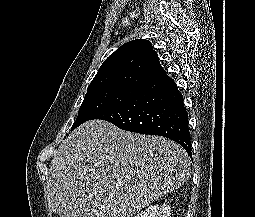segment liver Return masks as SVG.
Returning a JSON list of instances; mask_svg holds the SVG:
<instances>
[{"label":"liver","instance_id":"6515ba94","mask_svg":"<svg viewBox=\"0 0 255 217\" xmlns=\"http://www.w3.org/2000/svg\"><path fill=\"white\" fill-rule=\"evenodd\" d=\"M191 160L176 142L91 120L73 130L49 167V208L60 217H133L183 185Z\"/></svg>","mask_w":255,"mask_h":217}]
</instances>
